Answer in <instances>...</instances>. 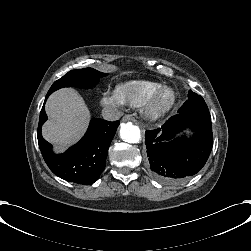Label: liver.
I'll use <instances>...</instances> for the list:
<instances>
[{
	"label": "liver",
	"instance_id": "1",
	"mask_svg": "<svg viewBox=\"0 0 251 251\" xmlns=\"http://www.w3.org/2000/svg\"><path fill=\"white\" fill-rule=\"evenodd\" d=\"M45 110L49 120L42 127V136L54 145L56 153L77 142L87 129L89 109L73 88H62L52 93Z\"/></svg>",
	"mask_w": 251,
	"mask_h": 251
}]
</instances>
